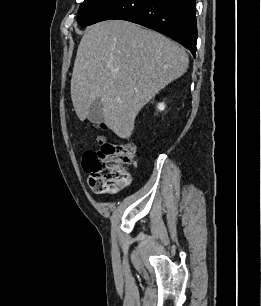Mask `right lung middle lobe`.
<instances>
[{
	"label": "right lung middle lobe",
	"instance_id": "dd1d6c3e",
	"mask_svg": "<svg viewBox=\"0 0 261 306\" xmlns=\"http://www.w3.org/2000/svg\"><path fill=\"white\" fill-rule=\"evenodd\" d=\"M113 1L114 0H84L78 10V24L81 27H86Z\"/></svg>",
	"mask_w": 261,
	"mask_h": 306
}]
</instances>
